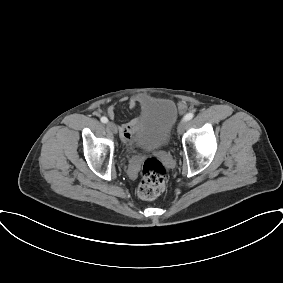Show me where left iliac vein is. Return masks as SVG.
Returning <instances> with one entry per match:
<instances>
[{"instance_id": "obj_1", "label": "left iliac vein", "mask_w": 283, "mask_h": 283, "mask_svg": "<svg viewBox=\"0 0 283 283\" xmlns=\"http://www.w3.org/2000/svg\"><path fill=\"white\" fill-rule=\"evenodd\" d=\"M185 127H186V121L183 120L182 122H180V124L178 126V134H182Z\"/></svg>"}]
</instances>
